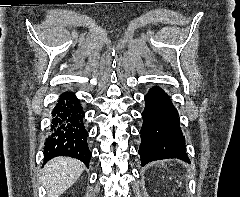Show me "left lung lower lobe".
Returning a JSON list of instances; mask_svg holds the SVG:
<instances>
[{
	"label": "left lung lower lobe",
	"instance_id": "1",
	"mask_svg": "<svg viewBox=\"0 0 240 197\" xmlns=\"http://www.w3.org/2000/svg\"><path fill=\"white\" fill-rule=\"evenodd\" d=\"M146 107L142 113L141 165L155 160L177 158L190 163L185 151V139L179 126L178 111L168 95L153 87L145 96Z\"/></svg>",
	"mask_w": 240,
	"mask_h": 197
}]
</instances>
